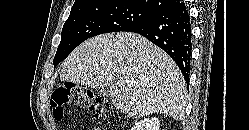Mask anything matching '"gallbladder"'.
<instances>
[{"label": "gallbladder", "instance_id": "1", "mask_svg": "<svg viewBox=\"0 0 249 130\" xmlns=\"http://www.w3.org/2000/svg\"><path fill=\"white\" fill-rule=\"evenodd\" d=\"M99 92L101 95H103L105 97H108L110 95V91H109L108 87L101 88Z\"/></svg>", "mask_w": 249, "mask_h": 130}]
</instances>
